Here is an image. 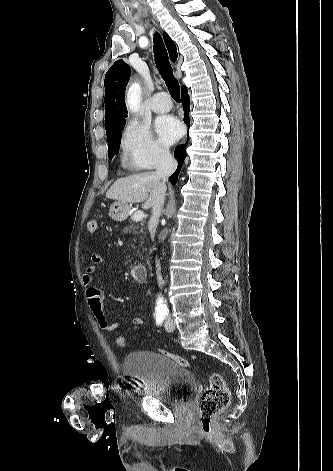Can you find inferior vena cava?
<instances>
[{
  "instance_id": "1",
  "label": "inferior vena cava",
  "mask_w": 333,
  "mask_h": 471,
  "mask_svg": "<svg viewBox=\"0 0 333 471\" xmlns=\"http://www.w3.org/2000/svg\"><path fill=\"white\" fill-rule=\"evenodd\" d=\"M177 168V162L174 157L170 154L167 150H161L159 153V160L156 168V176L160 178L161 181V188L162 192L160 197L152 206V216L149 221V232L151 235V239H154L156 228L159 222V218L161 215V211L163 208L164 200H165V192H166V181L168 180L169 176L174 173ZM156 274H157V281L159 287L163 284V279L161 276V267L159 260H156Z\"/></svg>"
}]
</instances>
